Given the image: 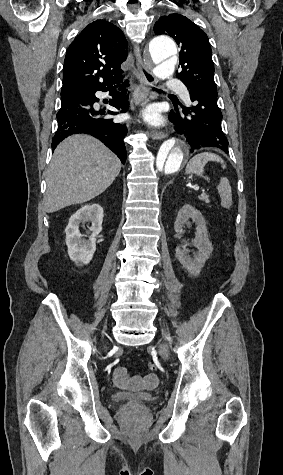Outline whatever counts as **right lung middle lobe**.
<instances>
[{"label":"right lung middle lobe","mask_w":283,"mask_h":475,"mask_svg":"<svg viewBox=\"0 0 283 475\" xmlns=\"http://www.w3.org/2000/svg\"><path fill=\"white\" fill-rule=\"evenodd\" d=\"M72 91H75V90H72V89H62V91H61V96L66 95V94H68V93H70V92H72Z\"/></svg>","instance_id":"right-lung-middle-lobe-1"}]
</instances>
